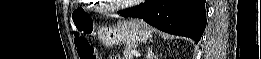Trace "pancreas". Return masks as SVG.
<instances>
[{
  "instance_id": "cf45deb5",
  "label": "pancreas",
  "mask_w": 261,
  "mask_h": 59,
  "mask_svg": "<svg viewBox=\"0 0 261 59\" xmlns=\"http://www.w3.org/2000/svg\"><path fill=\"white\" fill-rule=\"evenodd\" d=\"M135 49L134 45H127L123 52V59H133L132 51Z\"/></svg>"
}]
</instances>
